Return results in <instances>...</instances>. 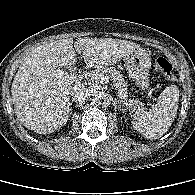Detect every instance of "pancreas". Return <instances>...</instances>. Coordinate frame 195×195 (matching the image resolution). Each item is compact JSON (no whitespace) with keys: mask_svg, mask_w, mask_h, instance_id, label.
<instances>
[{"mask_svg":"<svg viewBox=\"0 0 195 195\" xmlns=\"http://www.w3.org/2000/svg\"><path fill=\"white\" fill-rule=\"evenodd\" d=\"M101 78H111L114 86L118 90V96L121 100V104L126 107V109L134 112L139 111L143 104L138 100L128 99L127 81L124 79L120 71L113 67L99 68L91 71L86 75V79L91 87L97 88L100 83L104 81Z\"/></svg>","mask_w":195,"mask_h":195,"instance_id":"1","label":"pancreas"}]
</instances>
